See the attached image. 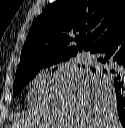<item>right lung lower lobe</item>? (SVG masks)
<instances>
[{
    "mask_svg": "<svg viewBox=\"0 0 125 128\" xmlns=\"http://www.w3.org/2000/svg\"><path fill=\"white\" fill-rule=\"evenodd\" d=\"M98 55L94 73L103 72L115 97L118 117L125 128V28L115 33L92 52Z\"/></svg>",
    "mask_w": 125,
    "mask_h": 128,
    "instance_id": "right-lung-lower-lobe-1",
    "label": "right lung lower lobe"
}]
</instances>
